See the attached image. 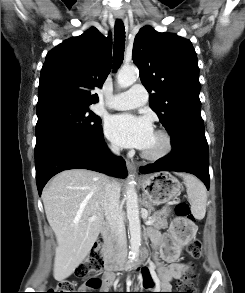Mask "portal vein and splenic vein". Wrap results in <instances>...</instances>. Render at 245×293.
Instances as JSON below:
<instances>
[{
  "mask_svg": "<svg viewBox=\"0 0 245 293\" xmlns=\"http://www.w3.org/2000/svg\"><path fill=\"white\" fill-rule=\"evenodd\" d=\"M95 217H92V219H94ZM147 224H152V221L151 220H149V221H147Z\"/></svg>",
  "mask_w": 245,
  "mask_h": 293,
  "instance_id": "18ae733b",
  "label": "portal vein and splenic vein"
}]
</instances>
